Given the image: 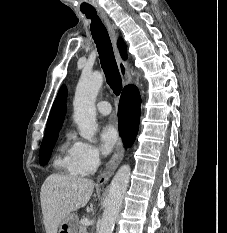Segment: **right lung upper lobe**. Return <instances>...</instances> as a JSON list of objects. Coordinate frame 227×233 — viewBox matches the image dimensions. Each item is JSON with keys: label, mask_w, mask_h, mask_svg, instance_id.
<instances>
[{"label": "right lung upper lobe", "mask_w": 227, "mask_h": 233, "mask_svg": "<svg viewBox=\"0 0 227 233\" xmlns=\"http://www.w3.org/2000/svg\"><path fill=\"white\" fill-rule=\"evenodd\" d=\"M118 47L122 58L126 59L127 58L126 46L122 39L118 40ZM66 95H67V90L66 87L63 85L60 88L58 95L53 103L43 139L50 138L59 133L66 113V104H65Z\"/></svg>", "instance_id": "cb5924a9"}]
</instances>
